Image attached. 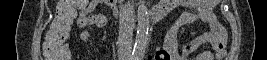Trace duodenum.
Wrapping results in <instances>:
<instances>
[{
    "instance_id": "obj_1",
    "label": "duodenum",
    "mask_w": 267,
    "mask_h": 60,
    "mask_svg": "<svg viewBox=\"0 0 267 60\" xmlns=\"http://www.w3.org/2000/svg\"><path fill=\"white\" fill-rule=\"evenodd\" d=\"M103 2L107 3L112 8L113 11H116L117 8L115 6L116 2L115 0H104ZM166 10H167L166 8L158 5L157 7L150 9L149 15L153 21H158L163 17Z\"/></svg>"
}]
</instances>
